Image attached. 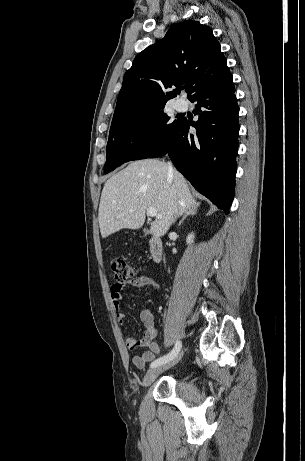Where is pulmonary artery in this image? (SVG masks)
I'll list each match as a JSON object with an SVG mask.
<instances>
[{
    "mask_svg": "<svg viewBox=\"0 0 305 461\" xmlns=\"http://www.w3.org/2000/svg\"><path fill=\"white\" fill-rule=\"evenodd\" d=\"M188 107V103L185 99H178L176 102H175V109L177 111H185Z\"/></svg>",
    "mask_w": 305,
    "mask_h": 461,
    "instance_id": "1",
    "label": "pulmonary artery"
}]
</instances>
